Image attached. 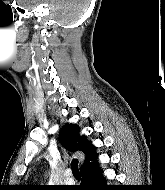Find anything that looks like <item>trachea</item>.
Here are the masks:
<instances>
[{
	"label": "trachea",
	"instance_id": "1",
	"mask_svg": "<svg viewBox=\"0 0 165 190\" xmlns=\"http://www.w3.org/2000/svg\"><path fill=\"white\" fill-rule=\"evenodd\" d=\"M71 169H72L73 175L75 177H80V172H79V168H78V160L74 159L71 162Z\"/></svg>",
	"mask_w": 165,
	"mask_h": 190
}]
</instances>
